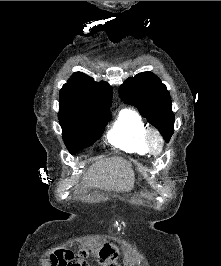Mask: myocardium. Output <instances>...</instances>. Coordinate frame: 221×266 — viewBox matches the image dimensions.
I'll list each match as a JSON object with an SVG mask.
<instances>
[{
    "label": "myocardium",
    "instance_id": "myocardium-1",
    "mask_svg": "<svg viewBox=\"0 0 221 266\" xmlns=\"http://www.w3.org/2000/svg\"><path fill=\"white\" fill-rule=\"evenodd\" d=\"M146 145L149 152L154 156H159L164 150V139L156 130H148L146 134Z\"/></svg>",
    "mask_w": 221,
    "mask_h": 266
}]
</instances>
